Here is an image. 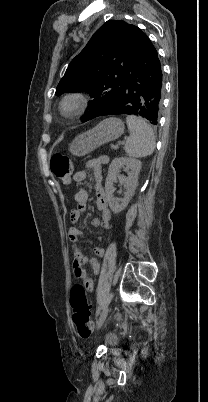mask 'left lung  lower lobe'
Segmentation results:
<instances>
[{"label":"left lung lower lobe","mask_w":208,"mask_h":402,"mask_svg":"<svg viewBox=\"0 0 208 402\" xmlns=\"http://www.w3.org/2000/svg\"><path fill=\"white\" fill-rule=\"evenodd\" d=\"M130 39L134 41V69L119 87L116 99L98 116L136 115L157 125L163 97V77L158 53L147 35L136 26Z\"/></svg>","instance_id":"1"}]
</instances>
